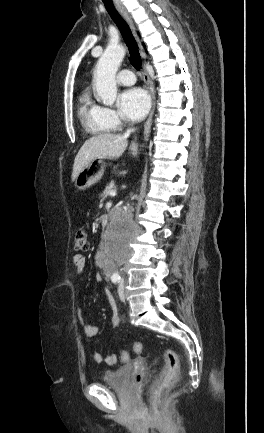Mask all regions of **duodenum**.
<instances>
[{
  "instance_id": "410a0bca",
  "label": "duodenum",
  "mask_w": 264,
  "mask_h": 433,
  "mask_svg": "<svg viewBox=\"0 0 264 433\" xmlns=\"http://www.w3.org/2000/svg\"><path fill=\"white\" fill-rule=\"evenodd\" d=\"M102 222H103V225L105 227L108 225V217L106 215L102 216ZM104 255H106V256L108 255V252L105 249L103 250V254L102 253L99 254V258L102 259L104 257ZM105 272L107 275H110L112 272V268L110 266H107L105 269Z\"/></svg>"
}]
</instances>
